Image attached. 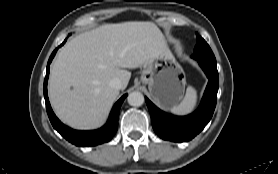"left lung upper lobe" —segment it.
Instances as JSON below:
<instances>
[{
  "instance_id": "obj_1",
  "label": "left lung upper lobe",
  "mask_w": 278,
  "mask_h": 174,
  "mask_svg": "<svg viewBox=\"0 0 278 174\" xmlns=\"http://www.w3.org/2000/svg\"><path fill=\"white\" fill-rule=\"evenodd\" d=\"M193 55L208 59L212 62H216L215 56H214L211 48L209 47L207 42L199 36H197V43L194 48Z\"/></svg>"
}]
</instances>
